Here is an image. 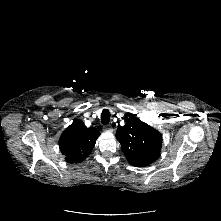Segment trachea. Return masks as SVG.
<instances>
[{
	"label": "trachea",
	"mask_w": 221,
	"mask_h": 221,
	"mask_svg": "<svg viewBox=\"0 0 221 221\" xmlns=\"http://www.w3.org/2000/svg\"><path fill=\"white\" fill-rule=\"evenodd\" d=\"M110 121V112L107 109H104L101 113V122L106 125Z\"/></svg>",
	"instance_id": "3493384b"
}]
</instances>
